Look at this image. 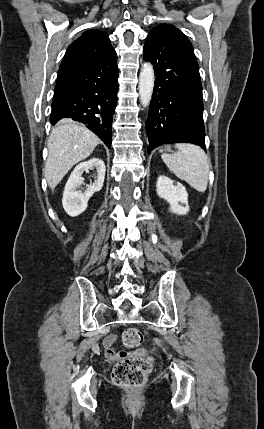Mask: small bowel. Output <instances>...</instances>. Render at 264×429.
Masks as SVG:
<instances>
[{
  "label": "small bowel",
  "instance_id": "1",
  "mask_svg": "<svg viewBox=\"0 0 264 429\" xmlns=\"http://www.w3.org/2000/svg\"><path fill=\"white\" fill-rule=\"evenodd\" d=\"M116 341V336L114 334L108 335L104 340V348L106 355L109 359H116L118 357H122L125 353L124 352H117L114 349V343ZM141 354L140 352H138Z\"/></svg>",
  "mask_w": 264,
  "mask_h": 429
}]
</instances>
